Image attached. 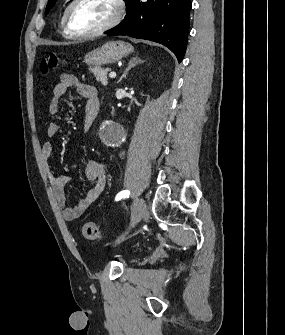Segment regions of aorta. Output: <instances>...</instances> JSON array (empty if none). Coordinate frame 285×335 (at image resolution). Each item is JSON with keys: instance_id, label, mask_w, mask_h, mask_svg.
Returning <instances> with one entry per match:
<instances>
[{"instance_id": "762f6f07", "label": "aorta", "mask_w": 285, "mask_h": 335, "mask_svg": "<svg viewBox=\"0 0 285 335\" xmlns=\"http://www.w3.org/2000/svg\"><path fill=\"white\" fill-rule=\"evenodd\" d=\"M94 133L99 137L100 147H121V141L127 137V130L119 125V119H96Z\"/></svg>"}]
</instances>
